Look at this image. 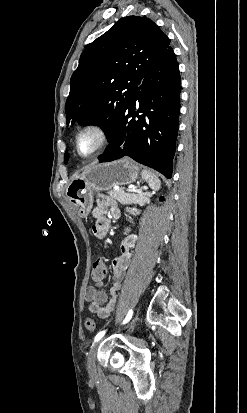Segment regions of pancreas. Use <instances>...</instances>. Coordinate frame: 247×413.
<instances>
[{
    "instance_id": "cf45deb5",
    "label": "pancreas",
    "mask_w": 247,
    "mask_h": 413,
    "mask_svg": "<svg viewBox=\"0 0 247 413\" xmlns=\"http://www.w3.org/2000/svg\"><path fill=\"white\" fill-rule=\"evenodd\" d=\"M107 194L116 198L121 204H144V202H150L151 192H124L123 188L121 190H108Z\"/></svg>"
}]
</instances>
